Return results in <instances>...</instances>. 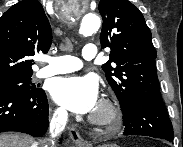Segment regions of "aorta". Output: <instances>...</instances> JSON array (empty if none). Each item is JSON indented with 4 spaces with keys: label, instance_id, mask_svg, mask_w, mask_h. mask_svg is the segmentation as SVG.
I'll use <instances>...</instances> for the list:
<instances>
[{
    "label": "aorta",
    "instance_id": "1",
    "mask_svg": "<svg viewBox=\"0 0 183 147\" xmlns=\"http://www.w3.org/2000/svg\"><path fill=\"white\" fill-rule=\"evenodd\" d=\"M100 25L101 19L98 15L86 14L81 20L79 32L83 36H90L98 31Z\"/></svg>",
    "mask_w": 183,
    "mask_h": 147
}]
</instances>
